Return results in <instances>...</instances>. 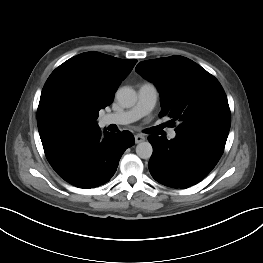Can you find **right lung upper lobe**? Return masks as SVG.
<instances>
[{"label": "right lung upper lobe", "instance_id": "1", "mask_svg": "<svg viewBox=\"0 0 263 263\" xmlns=\"http://www.w3.org/2000/svg\"><path fill=\"white\" fill-rule=\"evenodd\" d=\"M136 62L135 59L124 60L99 52H86L57 67L43 87L38 106L37 124L41 141L54 138L46 129L45 109L55 95L70 93L99 112L113 102L114 92Z\"/></svg>", "mask_w": 263, "mask_h": 263}]
</instances>
